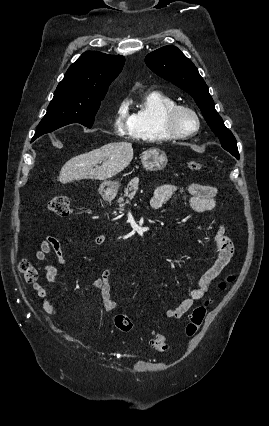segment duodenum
I'll return each mask as SVG.
<instances>
[{
    "mask_svg": "<svg viewBox=\"0 0 269 426\" xmlns=\"http://www.w3.org/2000/svg\"><path fill=\"white\" fill-rule=\"evenodd\" d=\"M102 196H103V198H104V199H107V198H108L105 194H103Z\"/></svg>",
    "mask_w": 269,
    "mask_h": 426,
    "instance_id": "obj_1",
    "label": "duodenum"
}]
</instances>
